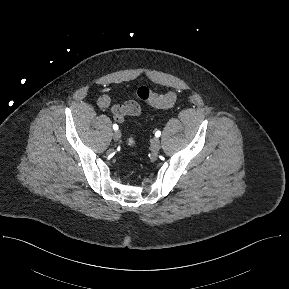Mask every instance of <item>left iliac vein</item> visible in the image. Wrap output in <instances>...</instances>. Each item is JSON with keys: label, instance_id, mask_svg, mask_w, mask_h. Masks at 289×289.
<instances>
[{"label": "left iliac vein", "instance_id": "obj_1", "mask_svg": "<svg viewBox=\"0 0 289 289\" xmlns=\"http://www.w3.org/2000/svg\"><path fill=\"white\" fill-rule=\"evenodd\" d=\"M161 147L160 140L158 137H155L151 140V148L153 151H158Z\"/></svg>", "mask_w": 289, "mask_h": 289}]
</instances>
